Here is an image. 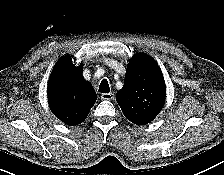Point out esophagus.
I'll return each mask as SVG.
<instances>
[{"label": "esophagus", "mask_w": 224, "mask_h": 175, "mask_svg": "<svg viewBox=\"0 0 224 175\" xmlns=\"http://www.w3.org/2000/svg\"><path fill=\"white\" fill-rule=\"evenodd\" d=\"M102 100H113L114 99V94L113 93H103L101 95Z\"/></svg>", "instance_id": "obj_1"}]
</instances>
